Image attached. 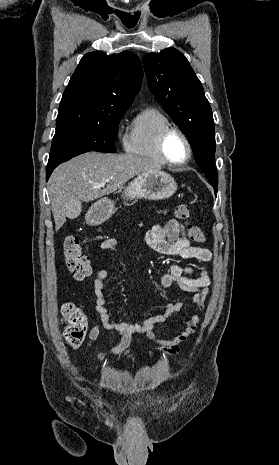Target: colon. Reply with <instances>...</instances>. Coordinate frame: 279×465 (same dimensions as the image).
<instances>
[{
	"label": "colon",
	"mask_w": 279,
	"mask_h": 465,
	"mask_svg": "<svg viewBox=\"0 0 279 465\" xmlns=\"http://www.w3.org/2000/svg\"><path fill=\"white\" fill-rule=\"evenodd\" d=\"M175 217L185 222L188 237L195 242H204L205 236L202 229L189 221L190 211L186 204H179L174 209ZM64 261L73 278L83 280L91 274V260L83 254L80 240L76 236H69L63 245ZM62 317L65 323L64 337L72 347H78L85 339L88 332L85 312L78 306L67 303L62 307Z\"/></svg>",
	"instance_id": "1"
}]
</instances>
